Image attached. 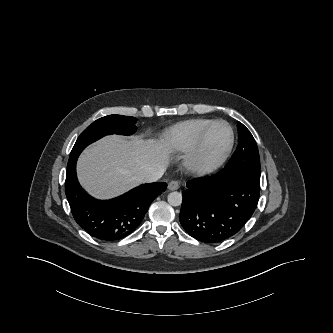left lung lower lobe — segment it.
<instances>
[{
  "label": "left lung lower lobe",
  "mask_w": 333,
  "mask_h": 333,
  "mask_svg": "<svg viewBox=\"0 0 333 333\" xmlns=\"http://www.w3.org/2000/svg\"><path fill=\"white\" fill-rule=\"evenodd\" d=\"M179 215L184 230L204 243L222 242L239 232L254 213L260 181L224 167L218 173L187 182Z\"/></svg>",
  "instance_id": "left-lung-lower-lobe-1"
}]
</instances>
